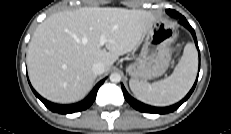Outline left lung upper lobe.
<instances>
[{"instance_id":"1","label":"left lung upper lobe","mask_w":231,"mask_h":134,"mask_svg":"<svg viewBox=\"0 0 231 134\" xmlns=\"http://www.w3.org/2000/svg\"><path fill=\"white\" fill-rule=\"evenodd\" d=\"M167 13L171 16H173L175 14V11L174 10H171V9H168L167 10Z\"/></svg>"}]
</instances>
